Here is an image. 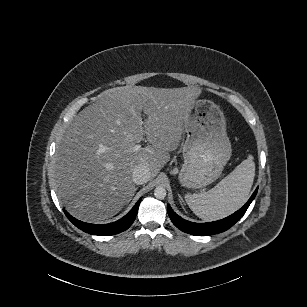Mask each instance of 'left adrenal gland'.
Wrapping results in <instances>:
<instances>
[{
    "label": "left adrenal gland",
    "mask_w": 307,
    "mask_h": 307,
    "mask_svg": "<svg viewBox=\"0 0 307 307\" xmlns=\"http://www.w3.org/2000/svg\"><path fill=\"white\" fill-rule=\"evenodd\" d=\"M178 198H179V200H182V202L184 203V200L182 199V197L179 194H178Z\"/></svg>",
    "instance_id": "left-adrenal-gland-1"
}]
</instances>
